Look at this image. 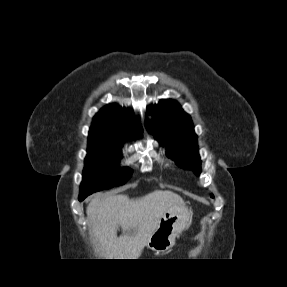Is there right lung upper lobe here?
I'll list each match as a JSON object with an SVG mask.
<instances>
[{
	"instance_id": "obj_1",
	"label": "right lung upper lobe",
	"mask_w": 287,
	"mask_h": 287,
	"mask_svg": "<svg viewBox=\"0 0 287 287\" xmlns=\"http://www.w3.org/2000/svg\"><path fill=\"white\" fill-rule=\"evenodd\" d=\"M132 113L129 109L123 111L118 105L104 107L93 118L88 140L123 143L126 139L140 136L142 128L134 126L138 120L130 121Z\"/></svg>"
}]
</instances>
